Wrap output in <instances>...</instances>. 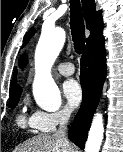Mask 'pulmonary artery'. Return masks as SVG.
Listing matches in <instances>:
<instances>
[{"mask_svg":"<svg viewBox=\"0 0 123 152\" xmlns=\"http://www.w3.org/2000/svg\"><path fill=\"white\" fill-rule=\"evenodd\" d=\"M57 71L64 76H70L74 73L75 67L70 62H64L57 66Z\"/></svg>","mask_w":123,"mask_h":152,"instance_id":"pulmonary-artery-1","label":"pulmonary artery"}]
</instances>
